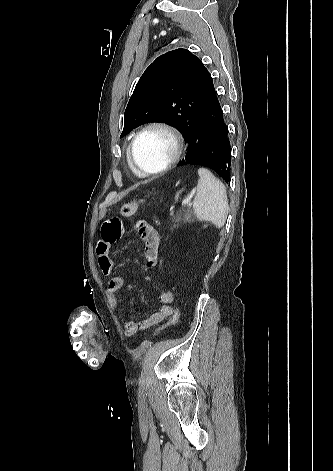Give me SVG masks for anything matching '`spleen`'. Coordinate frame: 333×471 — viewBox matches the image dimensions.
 Instances as JSON below:
<instances>
[{"instance_id": "obj_1", "label": "spleen", "mask_w": 333, "mask_h": 471, "mask_svg": "<svg viewBox=\"0 0 333 471\" xmlns=\"http://www.w3.org/2000/svg\"><path fill=\"white\" fill-rule=\"evenodd\" d=\"M199 180L193 211L200 221L223 227L228 214V200L224 184L206 168L198 169Z\"/></svg>"}]
</instances>
